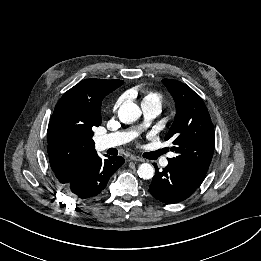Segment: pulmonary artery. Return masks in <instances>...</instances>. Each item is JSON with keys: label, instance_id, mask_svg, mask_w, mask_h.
<instances>
[{"label": "pulmonary artery", "instance_id": "pulmonary-artery-1", "mask_svg": "<svg viewBox=\"0 0 261 261\" xmlns=\"http://www.w3.org/2000/svg\"><path fill=\"white\" fill-rule=\"evenodd\" d=\"M144 116L146 121H150L154 118H156L161 111V108L158 107L157 105H148V104H143L142 105ZM134 133L131 132H116V133H111L106 136H103L99 139V144L102 148H110V147H115L119 146L122 144H125L129 142L131 139H133ZM174 153H171L170 156H173ZM160 165L165 167L168 165V159L163 158L160 161Z\"/></svg>", "mask_w": 261, "mask_h": 261}]
</instances>
